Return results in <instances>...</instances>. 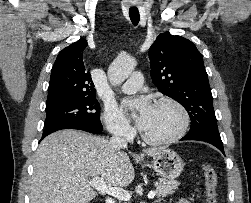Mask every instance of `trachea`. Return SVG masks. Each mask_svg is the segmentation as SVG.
<instances>
[{
    "mask_svg": "<svg viewBox=\"0 0 251 203\" xmlns=\"http://www.w3.org/2000/svg\"><path fill=\"white\" fill-rule=\"evenodd\" d=\"M129 16L133 25L136 26L139 23L140 19L139 11L137 9L129 10Z\"/></svg>",
    "mask_w": 251,
    "mask_h": 203,
    "instance_id": "obj_1",
    "label": "trachea"
}]
</instances>
